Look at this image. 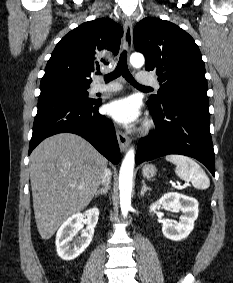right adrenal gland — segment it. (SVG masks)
I'll return each instance as SVG.
<instances>
[{"label": "right adrenal gland", "mask_w": 233, "mask_h": 283, "mask_svg": "<svg viewBox=\"0 0 233 283\" xmlns=\"http://www.w3.org/2000/svg\"><path fill=\"white\" fill-rule=\"evenodd\" d=\"M109 190V186L106 185L105 188H102L101 190H98L96 193H95V196H98V195H105Z\"/></svg>", "instance_id": "obj_1"}]
</instances>
